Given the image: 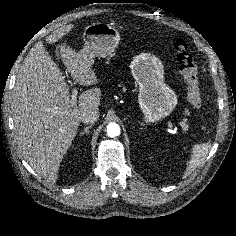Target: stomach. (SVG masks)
Here are the masks:
<instances>
[{"instance_id":"1","label":"stomach","mask_w":236,"mask_h":236,"mask_svg":"<svg viewBox=\"0 0 236 236\" xmlns=\"http://www.w3.org/2000/svg\"><path fill=\"white\" fill-rule=\"evenodd\" d=\"M85 45L78 52L83 60L93 64L95 57H109L117 48L120 35L109 24L93 23L83 33ZM138 88V102L148 124L165 119L178 103L177 95L164 81V67L151 53L135 56L130 64Z\"/></svg>"}]
</instances>
